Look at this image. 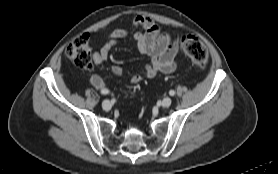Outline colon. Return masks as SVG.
Masks as SVG:
<instances>
[{"instance_id":"obj_1","label":"colon","mask_w":278,"mask_h":174,"mask_svg":"<svg viewBox=\"0 0 278 174\" xmlns=\"http://www.w3.org/2000/svg\"><path fill=\"white\" fill-rule=\"evenodd\" d=\"M196 69H204L208 62L205 45L193 35H183L176 40ZM66 55L81 69H89L92 63V48L87 35L75 37L66 48Z\"/></svg>"}]
</instances>
